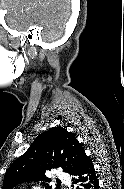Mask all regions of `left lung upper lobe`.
<instances>
[{
	"mask_svg": "<svg viewBox=\"0 0 124 189\" xmlns=\"http://www.w3.org/2000/svg\"><path fill=\"white\" fill-rule=\"evenodd\" d=\"M85 150L76 136L63 127L41 133L28 150L7 169L2 189H12L25 181H50L46 170L57 167L72 175L80 167ZM45 181V182H44ZM46 189H51L49 186Z\"/></svg>",
	"mask_w": 124,
	"mask_h": 189,
	"instance_id": "5c2ea615",
	"label": "left lung upper lobe"
}]
</instances>
